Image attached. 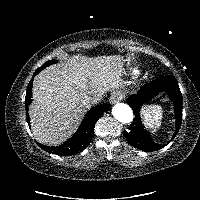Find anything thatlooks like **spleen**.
I'll return each mask as SVG.
<instances>
[{"instance_id": "spleen-1", "label": "spleen", "mask_w": 200, "mask_h": 200, "mask_svg": "<svg viewBox=\"0 0 200 200\" xmlns=\"http://www.w3.org/2000/svg\"><path fill=\"white\" fill-rule=\"evenodd\" d=\"M144 124L154 132L161 126L163 117L162 107L159 105H146L141 110Z\"/></svg>"}]
</instances>
